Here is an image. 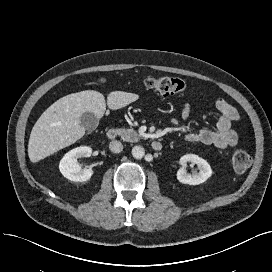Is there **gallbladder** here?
Wrapping results in <instances>:
<instances>
[{
	"label": "gallbladder",
	"instance_id": "gallbladder-1",
	"mask_svg": "<svg viewBox=\"0 0 272 272\" xmlns=\"http://www.w3.org/2000/svg\"><path fill=\"white\" fill-rule=\"evenodd\" d=\"M81 126L85 128V130L91 131L95 130L99 124V119L95 114L91 112H84L81 115Z\"/></svg>",
	"mask_w": 272,
	"mask_h": 272
}]
</instances>
